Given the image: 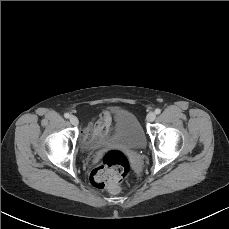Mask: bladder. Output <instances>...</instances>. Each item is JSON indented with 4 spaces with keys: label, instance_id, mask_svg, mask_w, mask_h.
<instances>
[{
    "label": "bladder",
    "instance_id": "31cf9c89",
    "mask_svg": "<svg viewBox=\"0 0 229 229\" xmlns=\"http://www.w3.org/2000/svg\"><path fill=\"white\" fill-rule=\"evenodd\" d=\"M146 142L145 131L137 117L130 111L119 110L112 133L108 136L88 138L83 141V147L87 152H92L98 147L114 143L133 149H143Z\"/></svg>",
    "mask_w": 229,
    "mask_h": 229
}]
</instances>
